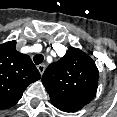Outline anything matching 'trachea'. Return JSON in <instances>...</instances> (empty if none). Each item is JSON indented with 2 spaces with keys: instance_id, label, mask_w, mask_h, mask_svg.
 I'll return each mask as SVG.
<instances>
[{
  "instance_id": "trachea-1",
  "label": "trachea",
  "mask_w": 117,
  "mask_h": 117,
  "mask_svg": "<svg viewBox=\"0 0 117 117\" xmlns=\"http://www.w3.org/2000/svg\"><path fill=\"white\" fill-rule=\"evenodd\" d=\"M33 60L35 64H41L44 60V56L42 54H36Z\"/></svg>"
}]
</instances>
